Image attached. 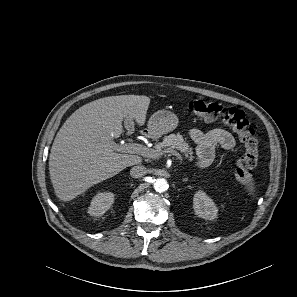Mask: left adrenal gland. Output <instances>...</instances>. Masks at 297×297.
<instances>
[{
	"label": "left adrenal gland",
	"mask_w": 297,
	"mask_h": 297,
	"mask_svg": "<svg viewBox=\"0 0 297 297\" xmlns=\"http://www.w3.org/2000/svg\"><path fill=\"white\" fill-rule=\"evenodd\" d=\"M186 181H188V179H183V182H186Z\"/></svg>",
	"instance_id": "left-adrenal-gland-1"
}]
</instances>
